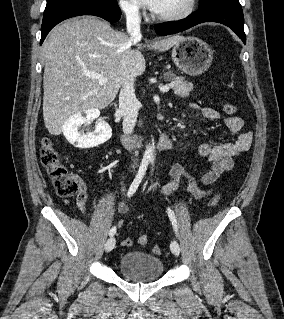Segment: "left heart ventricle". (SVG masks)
<instances>
[{
  "label": "left heart ventricle",
  "mask_w": 284,
  "mask_h": 319,
  "mask_svg": "<svg viewBox=\"0 0 284 319\" xmlns=\"http://www.w3.org/2000/svg\"><path fill=\"white\" fill-rule=\"evenodd\" d=\"M188 0H160L158 8L154 11L159 15H169L182 11Z\"/></svg>",
  "instance_id": "b2bd125f"
}]
</instances>
